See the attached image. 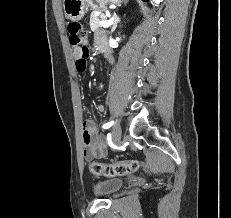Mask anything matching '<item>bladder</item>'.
<instances>
[{
	"label": "bladder",
	"mask_w": 231,
	"mask_h": 218,
	"mask_svg": "<svg viewBox=\"0 0 231 218\" xmlns=\"http://www.w3.org/2000/svg\"><path fill=\"white\" fill-rule=\"evenodd\" d=\"M123 185L124 180L120 178L98 181L94 186V193L99 197H107L119 191Z\"/></svg>",
	"instance_id": "obj_1"
}]
</instances>
